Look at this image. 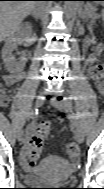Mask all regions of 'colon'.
Wrapping results in <instances>:
<instances>
[{
  "label": "colon",
  "mask_w": 104,
  "mask_h": 189,
  "mask_svg": "<svg viewBox=\"0 0 104 189\" xmlns=\"http://www.w3.org/2000/svg\"><path fill=\"white\" fill-rule=\"evenodd\" d=\"M93 74L97 78L102 76V68L96 66L93 69ZM50 134V126L47 122H42L37 126L36 132L33 134L30 143L29 149L27 151V160L30 166H34L38 159L40 158L44 143L47 140ZM65 152L69 159L73 162H76L79 157V148L75 142L70 141L65 145Z\"/></svg>",
  "instance_id": "obj_1"
}]
</instances>
